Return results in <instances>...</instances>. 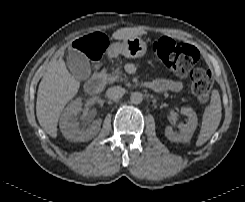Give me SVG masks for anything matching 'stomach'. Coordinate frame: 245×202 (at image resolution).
Listing matches in <instances>:
<instances>
[{
    "instance_id": "stomach-1",
    "label": "stomach",
    "mask_w": 245,
    "mask_h": 202,
    "mask_svg": "<svg viewBox=\"0 0 245 202\" xmlns=\"http://www.w3.org/2000/svg\"><path fill=\"white\" fill-rule=\"evenodd\" d=\"M147 44L140 37L125 39L122 43H114L110 47V53L112 56L119 54L126 58H139L146 54Z\"/></svg>"
}]
</instances>
